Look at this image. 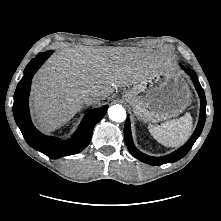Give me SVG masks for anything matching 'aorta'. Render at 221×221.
<instances>
[{
	"mask_svg": "<svg viewBox=\"0 0 221 221\" xmlns=\"http://www.w3.org/2000/svg\"><path fill=\"white\" fill-rule=\"evenodd\" d=\"M108 116L112 121L121 123L126 119V111L121 105L116 104L109 107Z\"/></svg>",
	"mask_w": 221,
	"mask_h": 221,
	"instance_id": "1",
	"label": "aorta"
}]
</instances>
